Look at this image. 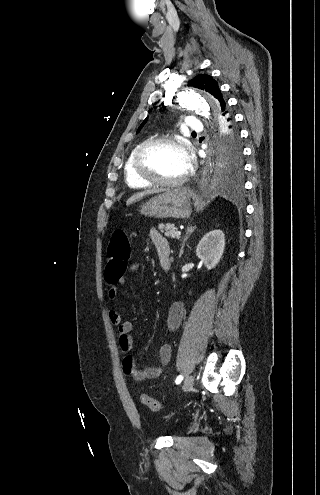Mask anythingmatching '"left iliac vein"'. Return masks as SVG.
<instances>
[{"label": "left iliac vein", "instance_id": "left-iliac-vein-1", "mask_svg": "<svg viewBox=\"0 0 320 495\" xmlns=\"http://www.w3.org/2000/svg\"><path fill=\"white\" fill-rule=\"evenodd\" d=\"M193 384H194V377L192 375H190L184 381V384L182 387L183 391H185V392L190 391L193 388Z\"/></svg>", "mask_w": 320, "mask_h": 495}]
</instances>
